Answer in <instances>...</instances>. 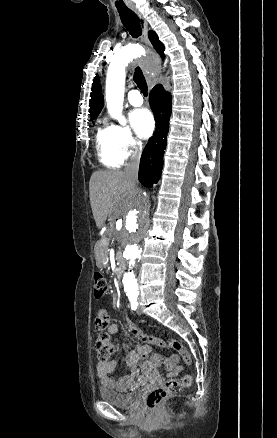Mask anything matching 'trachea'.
Returning a JSON list of instances; mask_svg holds the SVG:
<instances>
[{"instance_id": "trachea-1", "label": "trachea", "mask_w": 277, "mask_h": 438, "mask_svg": "<svg viewBox=\"0 0 277 438\" xmlns=\"http://www.w3.org/2000/svg\"><path fill=\"white\" fill-rule=\"evenodd\" d=\"M121 21L133 38H138L142 34L139 18L130 8H117ZM133 80L141 90L144 96L148 95V87L143 72L140 67H136L134 71Z\"/></svg>"}]
</instances>
